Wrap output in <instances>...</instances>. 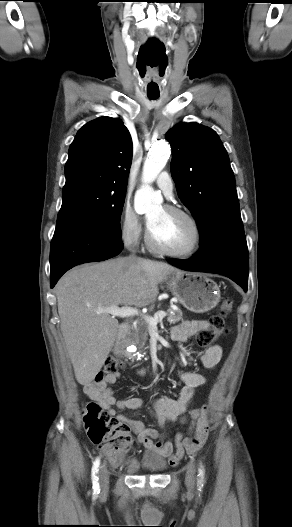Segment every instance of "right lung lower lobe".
Segmentation results:
<instances>
[{"mask_svg": "<svg viewBox=\"0 0 292 527\" xmlns=\"http://www.w3.org/2000/svg\"><path fill=\"white\" fill-rule=\"evenodd\" d=\"M123 249L121 237L88 225H56L51 242V288L72 267L97 262L118 255Z\"/></svg>", "mask_w": 292, "mask_h": 527, "instance_id": "1", "label": "right lung lower lobe"}]
</instances>
